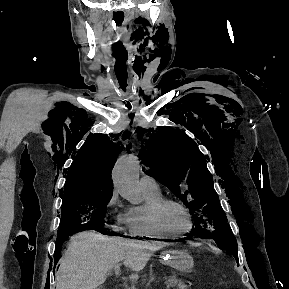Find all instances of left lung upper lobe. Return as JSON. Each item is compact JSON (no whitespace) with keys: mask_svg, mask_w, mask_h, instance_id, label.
Listing matches in <instances>:
<instances>
[{"mask_svg":"<svg viewBox=\"0 0 289 289\" xmlns=\"http://www.w3.org/2000/svg\"><path fill=\"white\" fill-rule=\"evenodd\" d=\"M140 156L150 167L148 174L167 186L189 208L194 218L191 233L210 236L238 262L237 241L197 144L180 130L160 129L150 136Z\"/></svg>","mask_w":289,"mask_h":289,"instance_id":"5c2ea615","label":"left lung upper lobe"}]
</instances>
